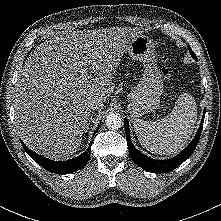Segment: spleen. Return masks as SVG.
Returning <instances> with one entry per match:
<instances>
[{"label":"spleen","instance_id":"1","mask_svg":"<svg viewBox=\"0 0 221 221\" xmlns=\"http://www.w3.org/2000/svg\"><path fill=\"white\" fill-rule=\"evenodd\" d=\"M196 120V101L190 93L183 92L166 118L155 122L136 119L134 130L146 150L160 155H173L186 146Z\"/></svg>","mask_w":221,"mask_h":221}]
</instances>
